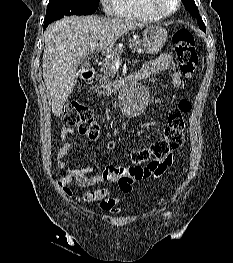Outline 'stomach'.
Wrapping results in <instances>:
<instances>
[{
  "instance_id": "1",
  "label": "stomach",
  "mask_w": 233,
  "mask_h": 263,
  "mask_svg": "<svg viewBox=\"0 0 233 263\" xmlns=\"http://www.w3.org/2000/svg\"><path fill=\"white\" fill-rule=\"evenodd\" d=\"M168 38L167 31L160 26H149L143 31V46L147 53H158Z\"/></svg>"
}]
</instances>
